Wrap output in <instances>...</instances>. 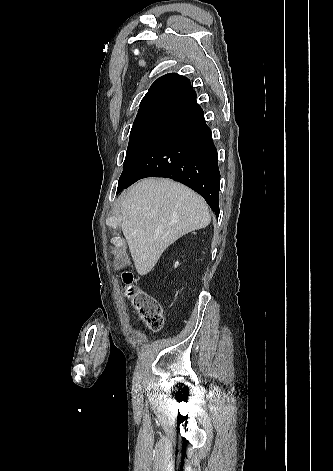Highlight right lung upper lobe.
Segmentation results:
<instances>
[{
	"label": "right lung upper lobe",
	"instance_id": "obj_1",
	"mask_svg": "<svg viewBox=\"0 0 333 471\" xmlns=\"http://www.w3.org/2000/svg\"><path fill=\"white\" fill-rule=\"evenodd\" d=\"M197 105L190 80L176 73L158 78L140 103L136 117L157 116L178 120Z\"/></svg>",
	"mask_w": 333,
	"mask_h": 471
}]
</instances>
